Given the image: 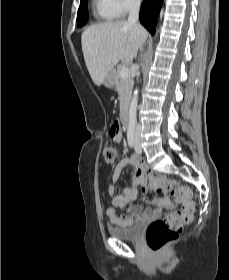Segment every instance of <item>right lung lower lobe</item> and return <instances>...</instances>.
<instances>
[{"label":"right lung lower lobe","instance_id":"right-lung-lower-lobe-1","mask_svg":"<svg viewBox=\"0 0 229 280\" xmlns=\"http://www.w3.org/2000/svg\"><path fill=\"white\" fill-rule=\"evenodd\" d=\"M163 0H145L140 10V21L146 29L154 34L157 16Z\"/></svg>","mask_w":229,"mask_h":280}]
</instances>
